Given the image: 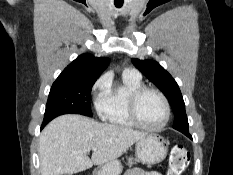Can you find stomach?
<instances>
[{"instance_id":"stomach-1","label":"stomach","mask_w":233,"mask_h":175,"mask_svg":"<svg viewBox=\"0 0 233 175\" xmlns=\"http://www.w3.org/2000/svg\"><path fill=\"white\" fill-rule=\"evenodd\" d=\"M168 152V142L157 134H147L144 138L137 141L135 145L136 160L143 164H158L162 162ZM133 160H129L131 166ZM123 167L119 160H112L99 166L93 175H120Z\"/></svg>"}]
</instances>
